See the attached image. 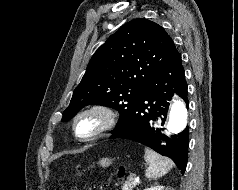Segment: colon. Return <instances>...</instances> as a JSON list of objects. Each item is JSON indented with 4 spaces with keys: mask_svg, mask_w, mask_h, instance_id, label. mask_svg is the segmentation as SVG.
I'll return each instance as SVG.
<instances>
[{
    "mask_svg": "<svg viewBox=\"0 0 238 190\" xmlns=\"http://www.w3.org/2000/svg\"><path fill=\"white\" fill-rule=\"evenodd\" d=\"M124 172H125V169H124L123 167H120V168L118 169V173H119L120 175H123Z\"/></svg>",
    "mask_w": 238,
    "mask_h": 190,
    "instance_id": "5ec220e1",
    "label": "colon"
}]
</instances>
